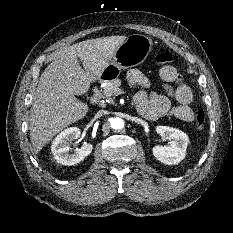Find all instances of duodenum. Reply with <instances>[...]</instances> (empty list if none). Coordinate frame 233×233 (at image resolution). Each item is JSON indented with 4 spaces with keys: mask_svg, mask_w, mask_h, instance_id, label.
I'll return each instance as SVG.
<instances>
[{
    "mask_svg": "<svg viewBox=\"0 0 233 233\" xmlns=\"http://www.w3.org/2000/svg\"><path fill=\"white\" fill-rule=\"evenodd\" d=\"M91 102L96 103L98 101V92L97 89L94 90L93 95L91 96Z\"/></svg>",
    "mask_w": 233,
    "mask_h": 233,
    "instance_id": "1",
    "label": "duodenum"
}]
</instances>
